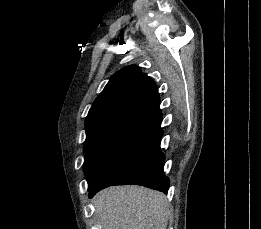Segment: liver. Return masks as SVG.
Wrapping results in <instances>:
<instances>
[{
	"mask_svg": "<svg viewBox=\"0 0 261 229\" xmlns=\"http://www.w3.org/2000/svg\"><path fill=\"white\" fill-rule=\"evenodd\" d=\"M93 203L103 229H167L171 217L165 195L144 187H108Z\"/></svg>",
	"mask_w": 261,
	"mask_h": 229,
	"instance_id": "6515ba94",
	"label": "liver"
}]
</instances>
